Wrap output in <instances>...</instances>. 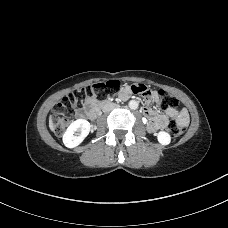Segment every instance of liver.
Listing matches in <instances>:
<instances>
[{
	"label": "liver",
	"mask_w": 228,
	"mask_h": 228,
	"mask_svg": "<svg viewBox=\"0 0 228 228\" xmlns=\"http://www.w3.org/2000/svg\"><path fill=\"white\" fill-rule=\"evenodd\" d=\"M49 127L52 131H54V125H53V122H52V119L50 118L49 119Z\"/></svg>",
	"instance_id": "obj_1"
}]
</instances>
